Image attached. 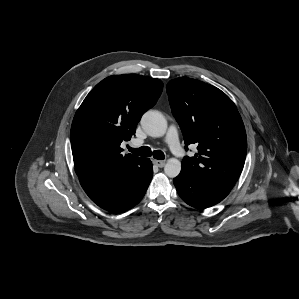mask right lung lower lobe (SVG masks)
Masks as SVG:
<instances>
[{"instance_id":"98d812e1","label":"right lung lower lobe","mask_w":299,"mask_h":299,"mask_svg":"<svg viewBox=\"0 0 299 299\" xmlns=\"http://www.w3.org/2000/svg\"><path fill=\"white\" fill-rule=\"evenodd\" d=\"M153 175L152 162L138 164L101 180H80L86 194L99 207L114 213L127 211L143 198Z\"/></svg>"}]
</instances>
